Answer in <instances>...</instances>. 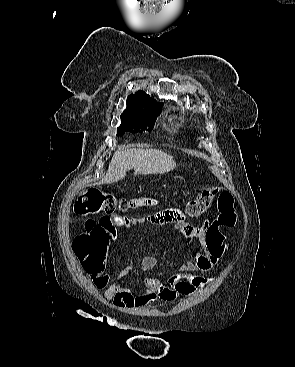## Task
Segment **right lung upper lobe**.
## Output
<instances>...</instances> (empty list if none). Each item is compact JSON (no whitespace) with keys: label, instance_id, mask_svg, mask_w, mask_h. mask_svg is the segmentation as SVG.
Segmentation results:
<instances>
[{"label":"right lung upper lobe","instance_id":"right-lung-upper-lobe-1","mask_svg":"<svg viewBox=\"0 0 295 367\" xmlns=\"http://www.w3.org/2000/svg\"><path fill=\"white\" fill-rule=\"evenodd\" d=\"M126 104H127V108L124 111V113L131 111L133 108H135L138 105H161V103L151 98L149 95H147L142 90H139L135 94H130L127 97Z\"/></svg>","mask_w":295,"mask_h":367}]
</instances>
